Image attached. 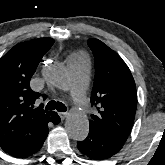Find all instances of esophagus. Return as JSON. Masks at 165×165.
<instances>
[{"instance_id":"esophagus-1","label":"esophagus","mask_w":165,"mask_h":165,"mask_svg":"<svg viewBox=\"0 0 165 165\" xmlns=\"http://www.w3.org/2000/svg\"><path fill=\"white\" fill-rule=\"evenodd\" d=\"M68 113H64V112H59V116L62 120H64L67 117Z\"/></svg>"}]
</instances>
